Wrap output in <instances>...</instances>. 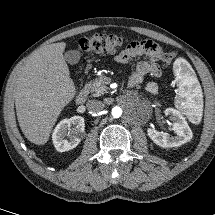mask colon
<instances>
[{"label": "colon", "instance_id": "5ec220e1", "mask_svg": "<svg viewBox=\"0 0 215 215\" xmlns=\"http://www.w3.org/2000/svg\"><path fill=\"white\" fill-rule=\"evenodd\" d=\"M127 39L117 35L96 33L90 37L80 39L78 49L82 52L110 54L116 52L126 44ZM177 57V52H168L163 56L165 63L170 64Z\"/></svg>", "mask_w": 215, "mask_h": 215}]
</instances>
